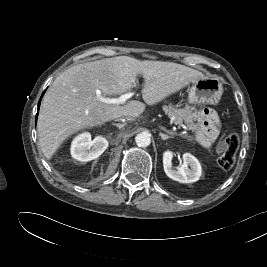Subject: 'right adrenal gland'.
<instances>
[{
    "instance_id": "2a0ac1e0",
    "label": "right adrenal gland",
    "mask_w": 267,
    "mask_h": 267,
    "mask_svg": "<svg viewBox=\"0 0 267 267\" xmlns=\"http://www.w3.org/2000/svg\"><path fill=\"white\" fill-rule=\"evenodd\" d=\"M112 125L118 127L119 129L123 128L125 126V124H119V123H112Z\"/></svg>"
}]
</instances>
